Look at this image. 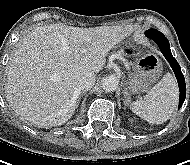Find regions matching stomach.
<instances>
[{"mask_svg":"<svg viewBox=\"0 0 190 165\" xmlns=\"http://www.w3.org/2000/svg\"><path fill=\"white\" fill-rule=\"evenodd\" d=\"M162 72L160 59L149 53H141L132 66L128 85L133 94H139L150 89Z\"/></svg>","mask_w":190,"mask_h":165,"instance_id":"stomach-1","label":"stomach"}]
</instances>
